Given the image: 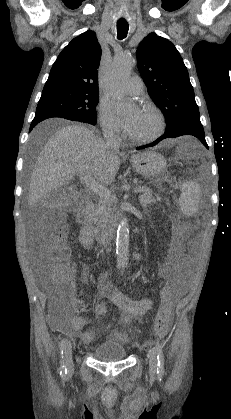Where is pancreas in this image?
<instances>
[{"instance_id":"obj_1","label":"pancreas","mask_w":231,"mask_h":419,"mask_svg":"<svg viewBox=\"0 0 231 419\" xmlns=\"http://www.w3.org/2000/svg\"><path fill=\"white\" fill-rule=\"evenodd\" d=\"M143 194L139 196L140 204L143 208H147L151 204H155L160 197H153L152 191L148 187H144ZM114 209V200L112 198H99L95 205L90 208V215L95 223L101 224L108 220Z\"/></svg>"}]
</instances>
